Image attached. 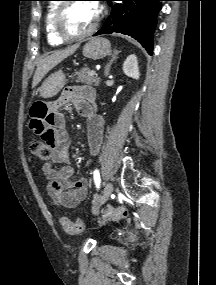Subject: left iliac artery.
<instances>
[{
    "label": "left iliac artery",
    "instance_id": "left-iliac-artery-1",
    "mask_svg": "<svg viewBox=\"0 0 216 285\" xmlns=\"http://www.w3.org/2000/svg\"><path fill=\"white\" fill-rule=\"evenodd\" d=\"M93 177H94V182H95L96 188L99 189V187H100V182H101L99 170L96 169V170L94 171Z\"/></svg>",
    "mask_w": 216,
    "mask_h": 285
}]
</instances>
